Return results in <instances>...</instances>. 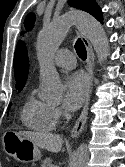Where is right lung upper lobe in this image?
I'll return each mask as SVG.
<instances>
[{
	"label": "right lung upper lobe",
	"instance_id": "cb5924a9",
	"mask_svg": "<svg viewBox=\"0 0 125 167\" xmlns=\"http://www.w3.org/2000/svg\"><path fill=\"white\" fill-rule=\"evenodd\" d=\"M29 71V60L26 46L19 41L14 54V74L16 87H24Z\"/></svg>",
	"mask_w": 125,
	"mask_h": 167
}]
</instances>
